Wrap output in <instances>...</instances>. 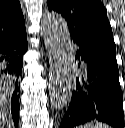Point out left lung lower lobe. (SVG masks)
I'll return each instance as SVG.
<instances>
[{
  "label": "left lung lower lobe",
  "mask_w": 125,
  "mask_h": 128,
  "mask_svg": "<svg viewBox=\"0 0 125 128\" xmlns=\"http://www.w3.org/2000/svg\"><path fill=\"white\" fill-rule=\"evenodd\" d=\"M78 46L76 59L81 61L83 68L76 78L69 108L59 128H74L94 119L114 128H124L116 54Z\"/></svg>",
  "instance_id": "1"
}]
</instances>
